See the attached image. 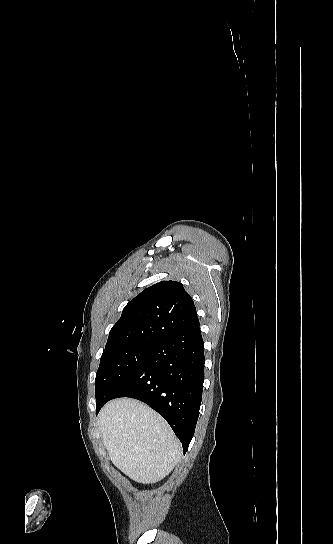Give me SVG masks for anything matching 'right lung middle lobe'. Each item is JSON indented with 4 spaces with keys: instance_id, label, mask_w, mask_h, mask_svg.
<instances>
[{
    "instance_id": "obj_1",
    "label": "right lung middle lobe",
    "mask_w": 333,
    "mask_h": 544,
    "mask_svg": "<svg viewBox=\"0 0 333 544\" xmlns=\"http://www.w3.org/2000/svg\"><path fill=\"white\" fill-rule=\"evenodd\" d=\"M153 344H133L103 352L95 379L96 409L109 401L145 363Z\"/></svg>"
}]
</instances>
